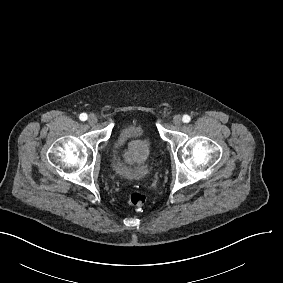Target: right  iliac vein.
<instances>
[{
    "mask_svg": "<svg viewBox=\"0 0 283 283\" xmlns=\"http://www.w3.org/2000/svg\"><path fill=\"white\" fill-rule=\"evenodd\" d=\"M97 121H98V119H97V116H96V115H94V114L89 115V117H88V123H89L90 125L96 124Z\"/></svg>",
    "mask_w": 283,
    "mask_h": 283,
    "instance_id": "63e3f726",
    "label": "right iliac vein"
}]
</instances>
